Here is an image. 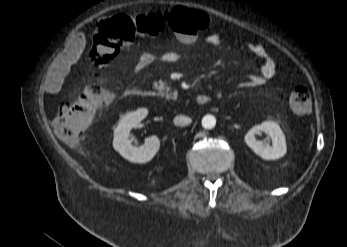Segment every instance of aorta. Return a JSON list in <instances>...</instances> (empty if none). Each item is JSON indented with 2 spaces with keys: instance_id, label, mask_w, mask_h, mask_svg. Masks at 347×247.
<instances>
[{
  "instance_id": "aorta-1",
  "label": "aorta",
  "mask_w": 347,
  "mask_h": 247,
  "mask_svg": "<svg viewBox=\"0 0 347 247\" xmlns=\"http://www.w3.org/2000/svg\"><path fill=\"white\" fill-rule=\"evenodd\" d=\"M216 125V118L211 115V114H208V115H205L202 119V126L205 128V129H212L214 128Z\"/></svg>"
}]
</instances>
